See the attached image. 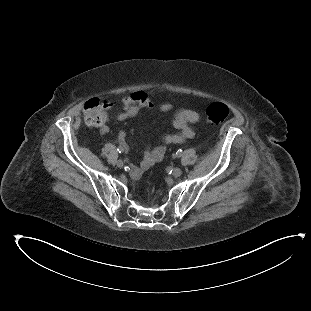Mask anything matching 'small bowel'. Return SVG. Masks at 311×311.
Wrapping results in <instances>:
<instances>
[{
    "instance_id": "obj_1",
    "label": "small bowel",
    "mask_w": 311,
    "mask_h": 311,
    "mask_svg": "<svg viewBox=\"0 0 311 311\" xmlns=\"http://www.w3.org/2000/svg\"><path fill=\"white\" fill-rule=\"evenodd\" d=\"M103 106L105 109H112L117 106L122 108L123 111L116 115V120L118 122H123L129 118L135 117L144 109H157L162 113H168L173 110L172 104L162 103L156 105V103L143 92H136L115 100H106L103 102ZM199 120L200 115L196 111L187 109L178 110L173 119V125L177 132L167 134L163 139V144L145 151L142 161L135 169V175H141L154 164L160 162L165 156L169 145L182 144L186 140L193 138L195 131L191 127V124H195ZM109 131L110 129L107 124H102L100 126V133L102 135H107ZM117 138L121 145L124 146L126 144L125 132L123 130L118 132Z\"/></svg>"
}]
</instances>
